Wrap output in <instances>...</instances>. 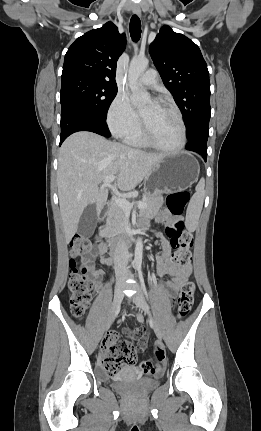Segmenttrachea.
Returning a JSON list of instances; mask_svg holds the SVG:
<instances>
[{
  "instance_id": "obj_1",
  "label": "trachea",
  "mask_w": 261,
  "mask_h": 431,
  "mask_svg": "<svg viewBox=\"0 0 261 431\" xmlns=\"http://www.w3.org/2000/svg\"><path fill=\"white\" fill-rule=\"evenodd\" d=\"M130 35L134 42L139 41L141 37V22L137 15H133L130 20Z\"/></svg>"
}]
</instances>
